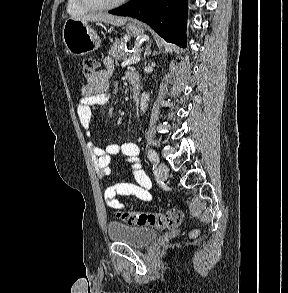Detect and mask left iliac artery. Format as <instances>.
<instances>
[{
    "label": "left iliac artery",
    "instance_id": "1",
    "mask_svg": "<svg viewBox=\"0 0 288 293\" xmlns=\"http://www.w3.org/2000/svg\"><path fill=\"white\" fill-rule=\"evenodd\" d=\"M148 157L150 161L154 164H157L159 162V156L154 150H149L148 152Z\"/></svg>",
    "mask_w": 288,
    "mask_h": 293
}]
</instances>
